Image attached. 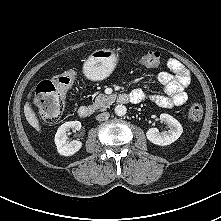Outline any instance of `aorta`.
<instances>
[{"instance_id": "obj_1", "label": "aorta", "mask_w": 221, "mask_h": 221, "mask_svg": "<svg viewBox=\"0 0 221 221\" xmlns=\"http://www.w3.org/2000/svg\"><path fill=\"white\" fill-rule=\"evenodd\" d=\"M114 111L117 116H124L127 112V108L126 106L121 104V105H117Z\"/></svg>"}]
</instances>
